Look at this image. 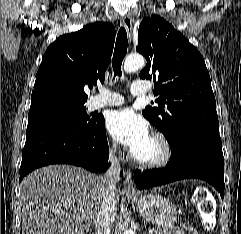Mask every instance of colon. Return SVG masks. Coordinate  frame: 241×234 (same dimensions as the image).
Masks as SVG:
<instances>
[{
	"mask_svg": "<svg viewBox=\"0 0 241 234\" xmlns=\"http://www.w3.org/2000/svg\"><path fill=\"white\" fill-rule=\"evenodd\" d=\"M195 201L203 215L208 216L213 212V202L206 190H199L195 195Z\"/></svg>",
	"mask_w": 241,
	"mask_h": 234,
	"instance_id": "5ec220e1",
	"label": "colon"
}]
</instances>
